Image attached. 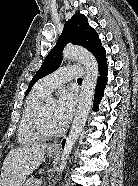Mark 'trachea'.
Masks as SVG:
<instances>
[{
  "label": "trachea",
  "instance_id": "obj_1",
  "mask_svg": "<svg viewBox=\"0 0 138 186\" xmlns=\"http://www.w3.org/2000/svg\"><path fill=\"white\" fill-rule=\"evenodd\" d=\"M77 82H82V78H78L77 79Z\"/></svg>",
  "mask_w": 138,
  "mask_h": 186
}]
</instances>
